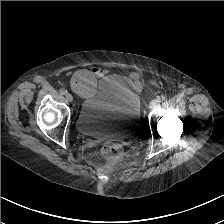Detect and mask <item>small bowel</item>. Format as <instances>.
<instances>
[{"label":"small bowel","mask_w":224,"mask_h":224,"mask_svg":"<svg viewBox=\"0 0 224 224\" xmlns=\"http://www.w3.org/2000/svg\"><path fill=\"white\" fill-rule=\"evenodd\" d=\"M92 72H94V73L96 74L97 77H102V76H105L106 74H108V73H109V70H107V69H102V68H100V67H94V68L92 69ZM132 78L134 79V81H135L136 83L139 82V80H138V75H137V74H133V75H132Z\"/></svg>","instance_id":"small-bowel-1"}]
</instances>
